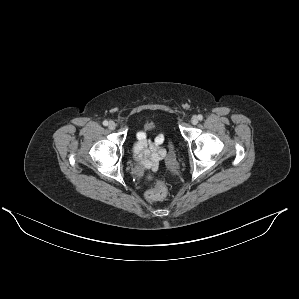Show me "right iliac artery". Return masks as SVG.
<instances>
[{"label":"right iliac artery","mask_w":299,"mask_h":299,"mask_svg":"<svg viewBox=\"0 0 299 299\" xmlns=\"http://www.w3.org/2000/svg\"><path fill=\"white\" fill-rule=\"evenodd\" d=\"M103 125H104V126H107V125H108V121H106V120L103 121Z\"/></svg>","instance_id":"82829eb1"}]
</instances>
